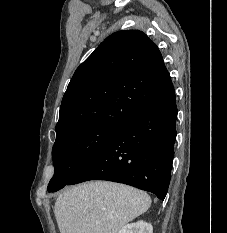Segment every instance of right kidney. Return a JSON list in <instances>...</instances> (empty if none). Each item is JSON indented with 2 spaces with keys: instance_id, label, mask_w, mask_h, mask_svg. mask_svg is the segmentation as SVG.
I'll return each instance as SVG.
<instances>
[{
  "instance_id": "right-kidney-1",
  "label": "right kidney",
  "mask_w": 227,
  "mask_h": 233,
  "mask_svg": "<svg viewBox=\"0 0 227 233\" xmlns=\"http://www.w3.org/2000/svg\"><path fill=\"white\" fill-rule=\"evenodd\" d=\"M118 233H153V227L150 223L138 221L125 225Z\"/></svg>"
}]
</instances>
